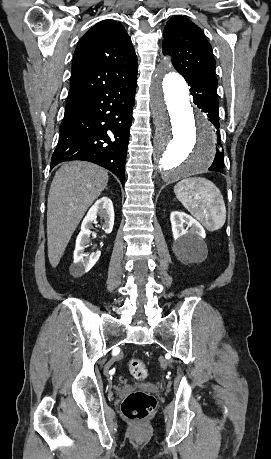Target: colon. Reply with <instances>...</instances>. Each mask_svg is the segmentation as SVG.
<instances>
[{
  "label": "colon",
  "instance_id": "colon-1",
  "mask_svg": "<svg viewBox=\"0 0 271 459\" xmlns=\"http://www.w3.org/2000/svg\"><path fill=\"white\" fill-rule=\"evenodd\" d=\"M131 375L143 380L147 377V369L144 362L139 358H132L128 363ZM156 408V399L143 391L130 393L122 402L121 410L128 420L142 422L146 420Z\"/></svg>",
  "mask_w": 271,
  "mask_h": 459
}]
</instances>
